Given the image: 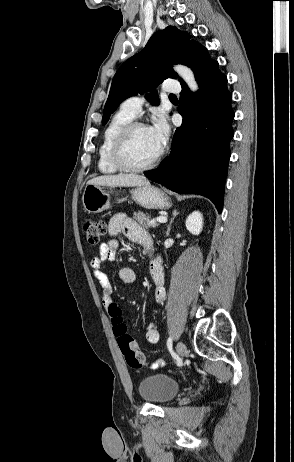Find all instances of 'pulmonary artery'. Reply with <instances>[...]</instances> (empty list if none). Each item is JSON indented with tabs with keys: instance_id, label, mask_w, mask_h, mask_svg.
Returning a JSON list of instances; mask_svg holds the SVG:
<instances>
[{
	"instance_id": "1",
	"label": "pulmonary artery",
	"mask_w": 294,
	"mask_h": 462,
	"mask_svg": "<svg viewBox=\"0 0 294 462\" xmlns=\"http://www.w3.org/2000/svg\"><path fill=\"white\" fill-rule=\"evenodd\" d=\"M162 88L164 92L171 94L177 93L179 91V85L171 83V80L166 81ZM144 102L145 98L143 95H136L126 99L122 103L121 107L135 116L141 112Z\"/></svg>"
}]
</instances>
